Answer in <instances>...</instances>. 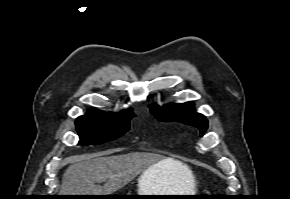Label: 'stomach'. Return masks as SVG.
I'll return each mask as SVG.
<instances>
[{
  "label": "stomach",
  "mask_w": 290,
  "mask_h": 199,
  "mask_svg": "<svg viewBox=\"0 0 290 199\" xmlns=\"http://www.w3.org/2000/svg\"><path fill=\"white\" fill-rule=\"evenodd\" d=\"M137 195H180L171 191V177L158 172V166L154 165L141 173L138 178ZM190 195V194H189ZM108 198V197H107ZM153 199H185L184 197H151Z\"/></svg>",
  "instance_id": "stomach-1"
}]
</instances>
